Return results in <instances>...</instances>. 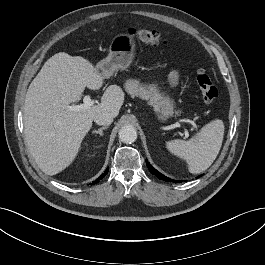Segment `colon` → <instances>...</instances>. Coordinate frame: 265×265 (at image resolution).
Returning <instances> with one entry per match:
<instances>
[{
	"instance_id": "5ec220e1",
	"label": "colon",
	"mask_w": 265,
	"mask_h": 265,
	"mask_svg": "<svg viewBox=\"0 0 265 265\" xmlns=\"http://www.w3.org/2000/svg\"><path fill=\"white\" fill-rule=\"evenodd\" d=\"M128 33L131 37L146 44L156 45L164 40V34L153 29L129 28ZM197 85L205 103L212 104L218 99L219 90L213 84L205 68H200L197 72Z\"/></svg>"
}]
</instances>
